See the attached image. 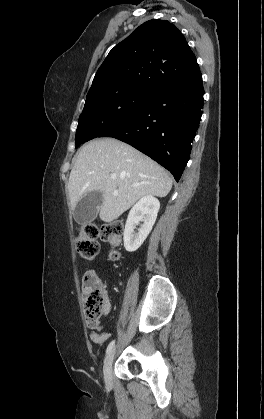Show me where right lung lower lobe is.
Segmentation results:
<instances>
[{"instance_id":"1","label":"right lung lower lobe","mask_w":264,"mask_h":419,"mask_svg":"<svg viewBox=\"0 0 264 419\" xmlns=\"http://www.w3.org/2000/svg\"><path fill=\"white\" fill-rule=\"evenodd\" d=\"M203 95L202 79L156 91L132 115L99 137L130 144L169 170L178 182L199 126Z\"/></svg>"}]
</instances>
